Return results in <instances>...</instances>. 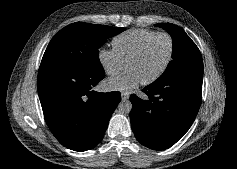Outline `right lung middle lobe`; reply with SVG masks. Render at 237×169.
Segmentation results:
<instances>
[{"label":"right lung middle lobe","instance_id":"1","mask_svg":"<svg viewBox=\"0 0 237 169\" xmlns=\"http://www.w3.org/2000/svg\"><path fill=\"white\" fill-rule=\"evenodd\" d=\"M122 27L77 22L60 30L50 41L40 66H57L84 72L103 71L99 48Z\"/></svg>","mask_w":237,"mask_h":169}]
</instances>
